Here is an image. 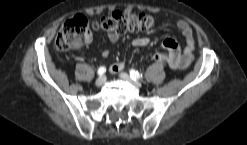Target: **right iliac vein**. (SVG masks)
I'll return each mask as SVG.
<instances>
[{
  "label": "right iliac vein",
  "instance_id": "obj_1",
  "mask_svg": "<svg viewBox=\"0 0 247 145\" xmlns=\"http://www.w3.org/2000/svg\"><path fill=\"white\" fill-rule=\"evenodd\" d=\"M105 82H106V77H105V76H101V77H99V78L96 80L95 85H96L97 87H100V86H102Z\"/></svg>",
  "mask_w": 247,
  "mask_h": 145
}]
</instances>
